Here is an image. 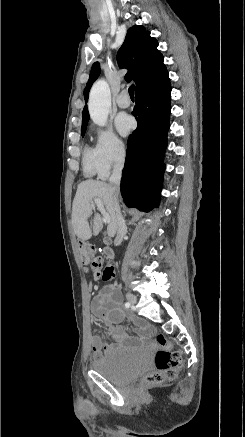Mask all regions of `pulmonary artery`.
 I'll return each instance as SVG.
<instances>
[{
	"label": "pulmonary artery",
	"mask_w": 245,
	"mask_h": 437,
	"mask_svg": "<svg viewBox=\"0 0 245 437\" xmlns=\"http://www.w3.org/2000/svg\"><path fill=\"white\" fill-rule=\"evenodd\" d=\"M116 103H117L118 107H120V108H128L130 106L131 101H130L126 91H122L118 95V97L116 99Z\"/></svg>",
	"instance_id": "1"
}]
</instances>
